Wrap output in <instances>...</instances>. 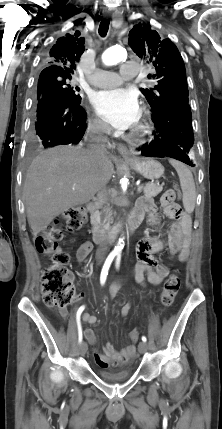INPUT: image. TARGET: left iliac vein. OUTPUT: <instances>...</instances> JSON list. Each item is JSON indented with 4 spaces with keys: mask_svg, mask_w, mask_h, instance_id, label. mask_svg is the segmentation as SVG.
<instances>
[{
    "mask_svg": "<svg viewBox=\"0 0 222 429\" xmlns=\"http://www.w3.org/2000/svg\"><path fill=\"white\" fill-rule=\"evenodd\" d=\"M138 350L140 353H145L148 350V345L146 342H140L138 345Z\"/></svg>",
    "mask_w": 222,
    "mask_h": 429,
    "instance_id": "1",
    "label": "left iliac vein"
}]
</instances>
